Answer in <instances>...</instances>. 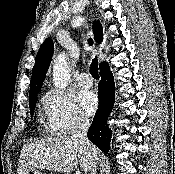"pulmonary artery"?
<instances>
[{
  "instance_id": "e3ab8cb5",
  "label": "pulmonary artery",
  "mask_w": 175,
  "mask_h": 174,
  "mask_svg": "<svg viewBox=\"0 0 175 174\" xmlns=\"http://www.w3.org/2000/svg\"><path fill=\"white\" fill-rule=\"evenodd\" d=\"M77 83L82 88H90L93 85V81L88 73H81L77 78Z\"/></svg>"
}]
</instances>
